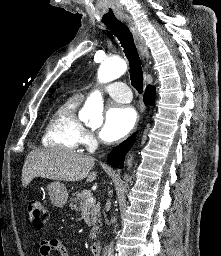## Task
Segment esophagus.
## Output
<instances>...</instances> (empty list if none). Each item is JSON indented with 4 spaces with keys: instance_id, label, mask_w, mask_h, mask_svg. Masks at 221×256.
<instances>
[{
    "instance_id": "1",
    "label": "esophagus",
    "mask_w": 221,
    "mask_h": 256,
    "mask_svg": "<svg viewBox=\"0 0 221 256\" xmlns=\"http://www.w3.org/2000/svg\"><path fill=\"white\" fill-rule=\"evenodd\" d=\"M121 21L124 22L127 25V27L130 29V31L134 37L135 43L137 45V48L140 52V55H141L143 61L146 62V65H148V59H149L148 48L145 44L144 38L142 37V35L140 34V32L138 30L135 22L129 16H123L121 18Z\"/></svg>"
}]
</instances>
